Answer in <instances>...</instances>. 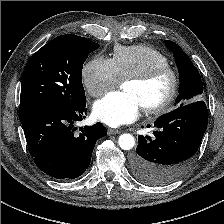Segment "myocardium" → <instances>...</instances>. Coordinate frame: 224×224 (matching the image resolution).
I'll use <instances>...</instances> for the list:
<instances>
[{
    "instance_id": "myocardium-1",
    "label": "myocardium",
    "mask_w": 224,
    "mask_h": 224,
    "mask_svg": "<svg viewBox=\"0 0 224 224\" xmlns=\"http://www.w3.org/2000/svg\"><path fill=\"white\" fill-rule=\"evenodd\" d=\"M162 75H168L170 78L169 91L166 96L158 103L148 105L143 108L144 112L147 114L161 113L167 110L173 104L178 96L180 88V75L178 71L170 65H162L152 67L141 74L134 75L126 79L127 82L146 84Z\"/></svg>"
}]
</instances>
